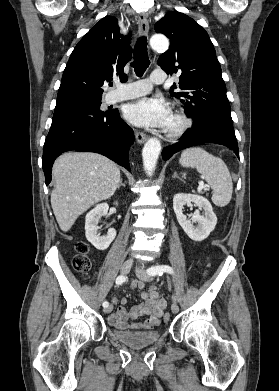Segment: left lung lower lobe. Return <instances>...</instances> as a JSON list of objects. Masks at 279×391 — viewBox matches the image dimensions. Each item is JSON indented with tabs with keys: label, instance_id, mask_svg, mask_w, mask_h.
<instances>
[{
	"label": "left lung lower lobe",
	"instance_id": "obj_1",
	"mask_svg": "<svg viewBox=\"0 0 279 391\" xmlns=\"http://www.w3.org/2000/svg\"><path fill=\"white\" fill-rule=\"evenodd\" d=\"M201 143H217L227 146L239 157L233 123L216 117L206 116L198 122H193L192 128L183 134L178 143L165 147L162 151V158L167 160L174 153Z\"/></svg>",
	"mask_w": 279,
	"mask_h": 391
}]
</instances>
